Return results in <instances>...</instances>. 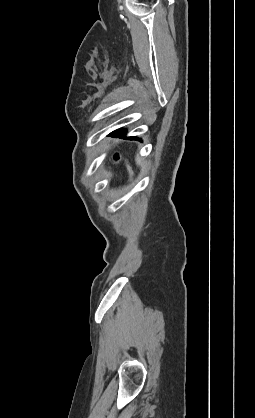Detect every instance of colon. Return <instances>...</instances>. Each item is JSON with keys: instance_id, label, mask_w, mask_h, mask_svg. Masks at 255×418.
Listing matches in <instances>:
<instances>
[{"instance_id": "obj_1", "label": "colon", "mask_w": 255, "mask_h": 418, "mask_svg": "<svg viewBox=\"0 0 255 418\" xmlns=\"http://www.w3.org/2000/svg\"><path fill=\"white\" fill-rule=\"evenodd\" d=\"M119 158H120V157H119V155H118V154H115V155H114V159H115V160H119Z\"/></svg>"}]
</instances>
